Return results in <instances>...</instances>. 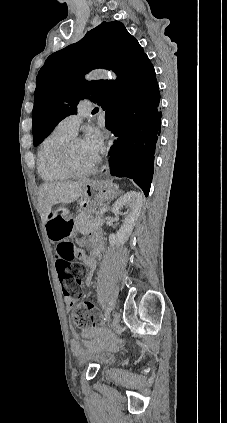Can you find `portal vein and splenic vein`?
I'll use <instances>...</instances> for the list:
<instances>
[{
  "mask_svg": "<svg viewBox=\"0 0 227 423\" xmlns=\"http://www.w3.org/2000/svg\"><path fill=\"white\" fill-rule=\"evenodd\" d=\"M104 211H108L107 208H104V210L103 209L99 210V213L101 214V216H104Z\"/></svg>",
  "mask_w": 227,
  "mask_h": 423,
  "instance_id": "1",
  "label": "portal vein and splenic vein"
}]
</instances>
